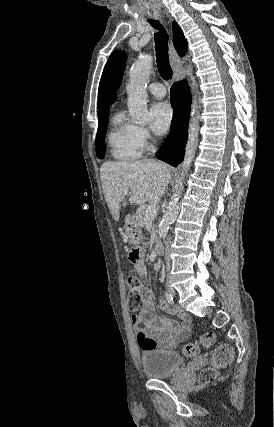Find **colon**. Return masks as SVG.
Masks as SVG:
<instances>
[{
  "label": "colon",
  "instance_id": "colon-1",
  "mask_svg": "<svg viewBox=\"0 0 274 427\" xmlns=\"http://www.w3.org/2000/svg\"><path fill=\"white\" fill-rule=\"evenodd\" d=\"M144 258V247L136 246L131 248V262L137 264L140 259ZM127 284L129 294L127 298V306L131 311L139 308L142 302V283L138 280L134 273L128 272ZM214 335L212 332H203L194 343H186L183 346L182 352L185 358H190L198 350V347L209 348L213 345ZM234 360L233 348L228 344H219L214 349L213 365L202 369L200 372V383L205 384L211 382L216 377V370L220 368H228Z\"/></svg>",
  "mask_w": 274,
  "mask_h": 427
}]
</instances>
